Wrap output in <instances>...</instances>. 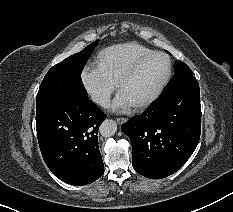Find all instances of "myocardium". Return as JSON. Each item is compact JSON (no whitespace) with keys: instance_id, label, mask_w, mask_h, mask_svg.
<instances>
[{"instance_id":"myocardium-1","label":"myocardium","mask_w":233,"mask_h":212,"mask_svg":"<svg viewBox=\"0 0 233 212\" xmlns=\"http://www.w3.org/2000/svg\"><path fill=\"white\" fill-rule=\"evenodd\" d=\"M160 55L163 56L167 61V71L162 79V81L159 83V85L156 87V89L143 101L134 104L133 106L137 109H142L145 107H148L151 105L162 93L163 89L167 85V83L170 80L171 74H172V61L168 54L162 51H151L141 57H139L135 62L132 63V65L124 72V74L121 76V78L118 81V88L121 90L123 85L130 80L138 71L140 66L150 57Z\"/></svg>"}]
</instances>
